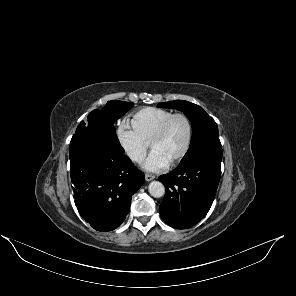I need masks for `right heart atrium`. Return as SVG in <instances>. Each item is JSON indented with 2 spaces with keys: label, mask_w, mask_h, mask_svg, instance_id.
<instances>
[{
  "label": "right heart atrium",
  "mask_w": 296,
  "mask_h": 296,
  "mask_svg": "<svg viewBox=\"0 0 296 296\" xmlns=\"http://www.w3.org/2000/svg\"><path fill=\"white\" fill-rule=\"evenodd\" d=\"M117 137L130 160L135 163L143 162L149 151V144L143 141L133 128L120 126L117 130Z\"/></svg>",
  "instance_id": "1"
}]
</instances>
